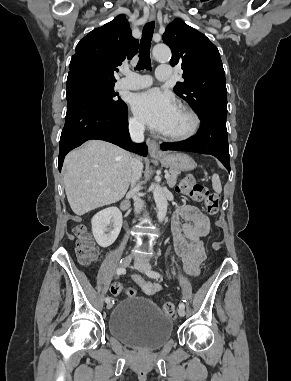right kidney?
I'll return each mask as SVG.
<instances>
[{
    "instance_id": "ca27d5eb",
    "label": "right kidney",
    "mask_w": 291,
    "mask_h": 381,
    "mask_svg": "<svg viewBox=\"0 0 291 381\" xmlns=\"http://www.w3.org/2000/svg\"><path fill=\"white\" fill-rule=\"evenodd\" d=\"M91 222L92 233L97 244L105 248L117 239L123 218L118 208L110 207L95 214Z\"/></svg>"
}]
</instances>
